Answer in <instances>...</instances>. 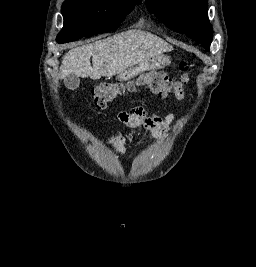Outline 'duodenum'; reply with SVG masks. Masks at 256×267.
<instances>
[{
  "label": "duodenum",
  "instance_id": "410a0bca",
  "mask_svg": "<svg viewBox=\"0 0 256 267\" xmlns=\"http://www.w3.org/2000/svg\"><path fill=\"white\" fill-rule=\"evenodd\" d=\"M154 70V66H143L142 68H136L135 66H127V70H123V74H120L119 82H126V79H134V73H150Z\"/></svg>",
  "mask_w": 256,
  "mask_h": 267
}]
</instances>
